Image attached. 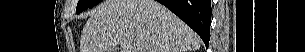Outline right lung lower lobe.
<instances>
[{
  "instance_id": "1",
  "label": "right lung lower lobe",
  "mask_w": 305,
  "mask_h": 52,
  "mask_svg": "<svg viewBox=\"0 0 305 52\" xmlns=\"http://www.w3.org/2000/svg\"><path fill=\"white\" fill-rule=\"evenodd\" d=\"M187 25L204 41L206 47L210 40L211 0H157Z\"/></svg>"
}]
</instances>
